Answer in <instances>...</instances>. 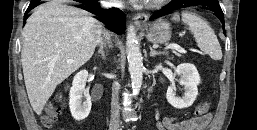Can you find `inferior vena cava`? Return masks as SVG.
Returning <instances> with one entry per match:
<instances>
[{"label":"inferior vena cava","instance_id":"inferior-vena-cava-1","mask_svg":"<svg viewBox=\"0 0 257 130\" xmlns=\"http://www.w3.org/2000/svg\"><path fill=\"white\" fill-rule=\"evenodd\" d=\"M115 6H121L122 2L120 0H114ZM104 35L109 40L110 35L108 32H104ZM100 45L103 44L102 38L100 39ZM118 94H119V84L116 83L113 85L112 89V102H111V119L109 130H119V103H118Z\"/></svg>","mask_w":257,"mask_h":130}]
</instances>
